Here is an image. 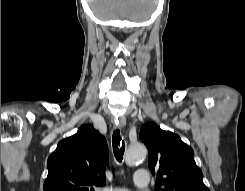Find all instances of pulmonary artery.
<instances>
[{
    "instance_id": "e3ab8cb5",
    "label": "pulmonary artery",
    "mask_w": 245,
    "mask_h": 191,
    "mask_svg": "<svg viewBox=\"0 0 245 191\" xmlns=\"http://www.w3.org/2000/svg\"><path fill=\"white\" fill-rule=\"evenodd\" d=\"M150 181V175L146 169L140 168L136 170L133 177V182L138 188H145ZM104 191H129L125 188H107Z\"/></svg>"
}]
</instances>
